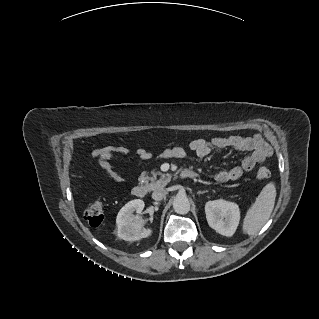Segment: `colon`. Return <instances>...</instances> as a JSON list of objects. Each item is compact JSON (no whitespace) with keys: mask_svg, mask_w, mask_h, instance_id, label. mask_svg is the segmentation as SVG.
I'll list each match as a JSON object with an SVG mask.
<instances>
[{"mask_svg":"<svg viewBox=\"0 0 319 319\" xmlns=\"http://www.w3.org/2000/svg\"><path fill=\"white\" fill-rule=\"evenodd\" d=\"M257 177L267 179L270 177V171L262 167L257 171ZM85 218L91 226H99L104 219V207L101 201H93L85 210Z\"/></svg>","mask_w":319,"mask_h":319,"instance_id":"colon-1","label":"colon"}]
</instances>
